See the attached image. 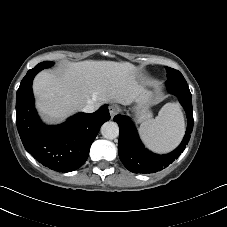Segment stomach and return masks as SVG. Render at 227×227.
<instances>
[{
  "label": "stomach",
  "instance_id": "0dacf381",
  "mask_svg": "<svg viewBox=\"0 0 227 227\" xmlns=\"http://www.w3.org/2000/svg\"><path fill=\"white\" fill-rule=\"evenodd\" d=\"M150 101V93L147 92L146 90H143L136 100L137 102V117L139 121L146 120L152 116L151 112L148 109Z\"/></svg>",
  "mask_w": 227,
  "mask_h": 227
}]
</instances>
